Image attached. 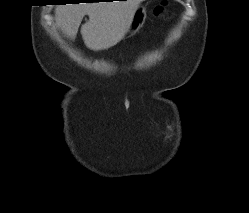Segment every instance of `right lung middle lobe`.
<instances>
[{"label": "right lung middle lobe", "mask_w": 249, "mask_h": 213, "mask_svg": "<svg viewBox=\"0 0 249 213\" xmlns=\"http://www.w3.org/2000/svg\"><path fill=\"white\" fill-rule=\"evenodd\" d=\"M63 3H66V2H76L77 0H61Z\"/></svg>", "instance_id": "dd1d6c3e"}]
</instances>
